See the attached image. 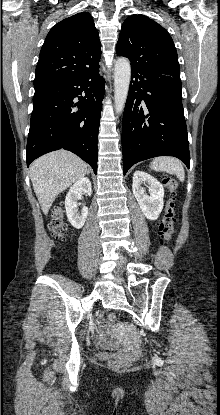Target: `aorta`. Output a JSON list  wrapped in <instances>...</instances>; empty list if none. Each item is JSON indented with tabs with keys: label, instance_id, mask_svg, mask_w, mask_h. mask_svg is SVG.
I'll list each match as a JSON object with an SVG mask.
<instances>
[{
	"label": "aorta",
	"instance_id": "obj_1",
	"mask_svg": "<svg viewBox=\"0 0 220 415\" xmlns=\"http://www.w3.org/2000/svg\"><path fill=\"white\" fill-rule=\"evenodd\" d=\"M131 79L130 62L126 58H119L114 66V103L115 111L121 114L128 96Z\"/></svg>",
	"mask_w": 220,
	"mask_h": 415
}]
</instances>
